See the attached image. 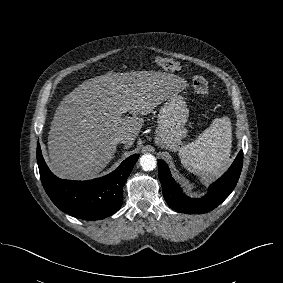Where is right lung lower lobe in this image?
<instances>
[{
  "label": "right lung lower lobe",
  "mask_w": 283,
  "mask_h": 283,
  "mask_svg": "<svg viewBox=\"0 0 283 283\" xmlns=\"http://www.w3.org/2000/svg\"><path fill=\"white\" fill-rule=\"evenodd\" d=\"M139 155L125 159L107 176L71 181L56 177L47 167L40 144H37V162L43 187L53 203L63 212L85 220L106 218L119 210L123 201V186Z\"/></svg>",
  "instance_id": "obj_1"
}]
</instances>
